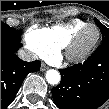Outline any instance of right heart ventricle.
Listing matches in <instances>:
<instances>
[{"instance_id":"right-heart-ventricle-1","label":"right heart ventricle","mask_w":109,"mask_h":109,"mask_svg":"<svg viewBox=\"0 0 109 109\" xmlns=\"http://www.w3.org/2000/svg\"><path fill=\"white\" fill-rule=\"evenodd\" d=\"M80 19L68 23L53 25L51 27H33L25 35V39L32 40L48 51L45 59H52L61 51L72 35L81 27L86 25Z\"/></svg>"}]
</instances>
